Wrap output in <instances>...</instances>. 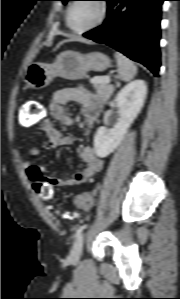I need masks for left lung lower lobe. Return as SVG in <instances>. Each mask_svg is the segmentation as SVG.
Segmentation results:
<instances>
[{
    "label": "left lung lower lobe",
    "mask_w": 180,
    "mask_h": 299,
    "mask_svg": "<svg viewBox=\"0 0 180 299\" xmlns=\"http://www.w3.org/2000/svg\"><path fill=\"white\" fill-rule=\"evenodd\" d=\"M104 1L108 3L105 22L83 36L113 47L158 76L161 5L165 0Z\"/></svg>",
    "instance_id": "left-lung-lower-lobe-1"
}]
</instances>
